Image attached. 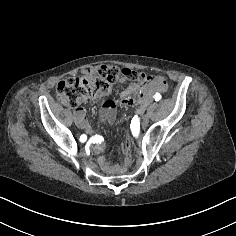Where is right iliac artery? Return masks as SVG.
<instances>
[{
	"instance_id": "1",
	"label": "right iliac artery",
	"mask_w": 236,
	"mask_h": 236,
	"mask_svg": "<svg viewBox=\"0 0 236 236\" xmlns=\"http://www.w3.org/2000/svg\"><path fill=\"white\" fill-rule=\"evenodd\" d=\"M86 140H87V136H86L85 134H83V135L80 136V141H81V142L84 143Z\"/></svg>"
}]
</instances>
